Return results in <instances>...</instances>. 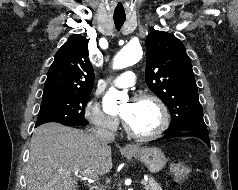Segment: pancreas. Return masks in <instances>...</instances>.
Returning a JSON list of instances; mask_svg holds the SVG:
<instances>
[{
    "instance_id": "cf45deb5",
    "label": "pancreas",
    "mask_w": 238,
    "mask_h": 190,
    "mask_svg": "<svg viewBox=\"0 0 238 190\" xmlns=\"http://www.w3.org/2000/svg\"><path fill=\"white\" fill-rule=\"evenodd\" d=\"M98 190H105V189H98ZM145 190H162V188L153 178H150L147 184L145 185Z\"/></svg>"
}]
</instances>
